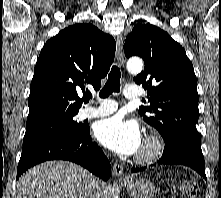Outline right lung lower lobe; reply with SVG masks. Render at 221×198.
<instances>
[{"instance_id":"98d812e1","label":"right lung lower lobe","mask_w":221,"mask_h":198,"mask_svg":"<svg viewBox=\"0 0 221 198\" xmlns=\"http://www.w3.org/2000/svg\"><path fill=\"white\" fill-rule=\"evenodd\" d=\"M55 159L80 164L105 181L111 175L110 162L99 146L92 142L87 125L77 134H51L23 145L17 179L30 167Z\"/></svg>"}]
</instances>
